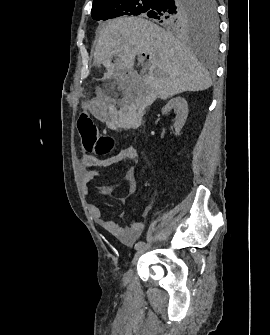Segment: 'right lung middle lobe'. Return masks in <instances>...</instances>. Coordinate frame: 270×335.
<instances>
[{"mask_svg": "<svg viewBox=\"0 0 270 335\" xmlns=\"http://www.w3.org/2000/svg\"><path fill=\"white\" fill-rule=\"evenodd\" d=\"M91 15L94 20L148 16L171 29L204 27L212 36L217 31L214 0H100Z\"/></svg>", "mask_w": 270, "mask_h": 335, "instance_id": "right-lung-middle-lobe-1", "label": "right lung middle lobe"}]
</instances>
